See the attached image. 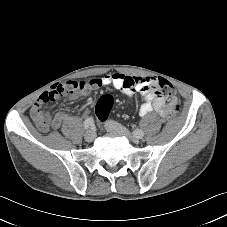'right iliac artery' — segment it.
Returning <instances> with one entry per match:
<instances>
[{
  "mask_svg": "<svg viewBox=\"0 0 227 227\" xmlns=\"http://www.w3.org/2000/svg\"><path fill=\"white\" fill-rule=\"evenodd\" d=\"M93 118H87L85 121H84V129L87 130L88 128H90L91 126H93Z\"/></svg>",
  "mask_w": 227,
  "mask_h": 227,
  "instance_id": "1",
  "label": "right iliac artery"
}]
</instances>
